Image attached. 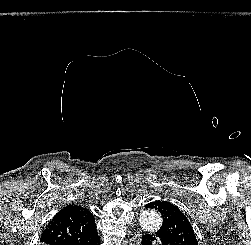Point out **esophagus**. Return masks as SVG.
<instances>
[{
  "label": "esophagus",
  "instance_id": "esophagus-1",
  "mask_svg": "<svg viewBox=\"0 0 251 245\" xmlns=\"http://www.w3.org/2000/svg\"><path fill=\"white\" fill-rule=\"evenodd\" d=\"M141 244V233H135L130 239L129 245H140Z\"/></svg>",
  "mask_w": 251,
  "mask_h": 245
}]
</instances>
